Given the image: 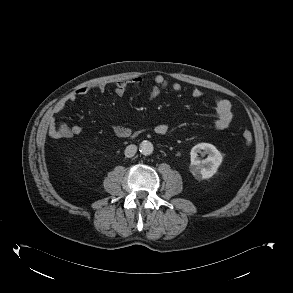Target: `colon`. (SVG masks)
Here are the masks:
<instances>
[{
    "label": "colon",
    "instance_id": "colon-1",
    "mask_svg": "<svg viewBox=\"0 0 293 293\" xmlns=\"http://www.w3.org/2000/svg\"><path fill=\"white\" fill-rule=\"evenodd\" d=\"M50 132L57 134L59 136H64L69 132V129L66 125L61 124V125L54 126V127L50 128ZM243 139H244V143L246 146L251 145L252 141H253L252 133L248 130H245L243 132Z\"/></svg>",
    "mask_w": 293,
    "mask_h": 293
}]
</instances>
